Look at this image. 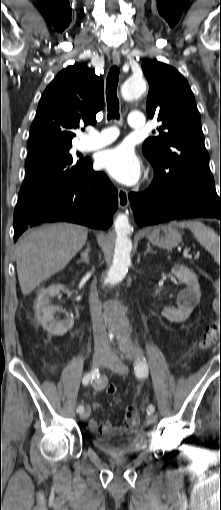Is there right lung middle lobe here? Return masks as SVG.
Returning a JSON list of instances; mask_svg holds the SVG:
<instances>
[{"instance_id": "dd1d6c3e", "label": "right lung middle lobe", "mask_w": 221, "mask_h": 510, "mask_svg": "<svg viewBox=\"0 0 221 510\" xmlns=\"http://www.w3.org/2000/svg\"><path fill=\"white\" fill-rule=\"evenodd\" d=\"M68 148L44 147L28 154L26 177L21 186L15 213L38 195L75 181L85 170L88 160L77 153L72 155Z\"/></svg>"}]
</instances>
